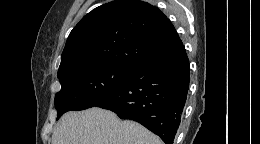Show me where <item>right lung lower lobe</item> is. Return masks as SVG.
<instances>
[{"label":"right lung lower lobe","instance_id":"obj_1","mask_svg":"<svg viewBox=\"0 0 260 144\" xmlns=\"http://www.w3.org/2000/svg\"><path fill=\"white\" fill-rule=\"evenodd\" d=\"M189 71L181 45L135 66L127 81L96 107L137 121L165 144H173L187 99Z\"/></svg>","mask_w":260,"mask_h":144}]
</instances>
